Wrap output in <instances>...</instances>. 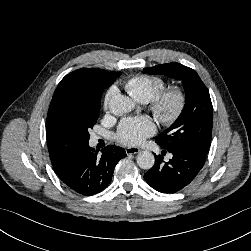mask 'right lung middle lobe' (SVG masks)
Segmentation results:
<instances>
[{"label": "right lung middle lobe", "instance_id": "1", "mask_svg": "<svg viewBox=\"0 0 251 251\" xmlns=\"http://www.w3.org/2000/svg\"><path fill=\"white\" fill-rule=\"evenodd\" d=\"M109 84L84 85L78 87L71 96V121L81 144L89 142V130L97 122L101 96Z\"/></svg>", "mask_w": 251, "mask_h": 251}]
</instances>
